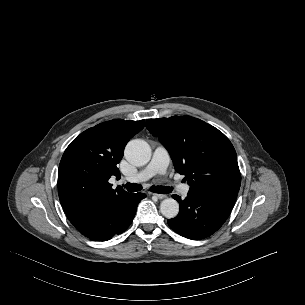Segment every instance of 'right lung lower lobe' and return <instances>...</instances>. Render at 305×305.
<instances>
[{
    "mask_svg": "<svg viewBox=\"0 0 305 305\" xmlns=\"http://www.w3.org/2000/svg\"><path fill=\"white\" fill-rule=\"evenodd\" d=\"M143 193H125L101 204H93L76 213H66L69 221L91 240L107 241L125 231L133 221Z\"/></svg>",
    "mask_w": 305,
    "mask_h": 305,
    "instance_id": "right-lung-lower-lobe-1",
    "label": "right lung lower lobe"
}]
</instances>
